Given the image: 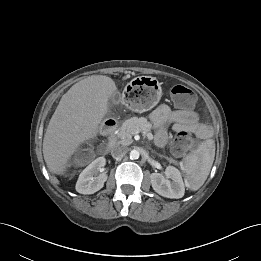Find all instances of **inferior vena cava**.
I'll return each mask as SVG.
<instances>
[{
    "label": "inferior vena cava",
    "mask_w": 261,
    "mask_h": 261,
    "mask_svg": "<svg viewBox=\"0 0 261 261\" xmlns=\"http://www.w3.org/2000/svg\"><path fill=\"white\" fill-rule=\"evenodd\" d=\"M127 152L128 148L126 146L116 145L112 148L111 155L116 159H120L124 157Z\"/></svg>",
    "instance_id": "602c4592"
}]
</instances>
